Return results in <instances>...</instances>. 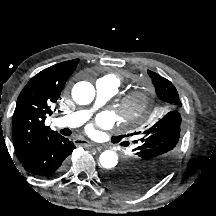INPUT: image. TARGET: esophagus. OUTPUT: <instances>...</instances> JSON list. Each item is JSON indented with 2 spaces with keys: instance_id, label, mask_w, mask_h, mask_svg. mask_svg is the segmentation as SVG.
I'll use <instances>...</instances> for the list:
<instances>
[{
  "instance_id": "obj_1",
  "label": "esophagus",
  "mask_w": 216,
  "mask_h": 216,
  "mask_svg": "<svg viewBox=\"0 0 216 216\" xmlns=\"http://www.w3.org/2000/svg\"><path fill=\"white\" fill-rule=\"evenodd\" d=\"M75 144L82 145V146H89V147H96L97 150H101L103 147L101 145H96L93 142L82 140V139H75Z\"/></svg>"
}]
</instances>
